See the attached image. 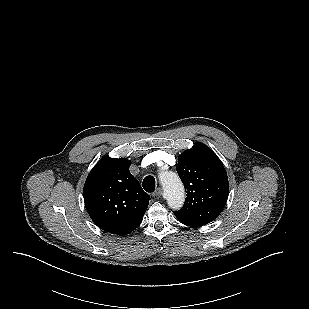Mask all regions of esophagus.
I'll use <instances>...</instances> for the list:
<instances>
[{"label": "esophagus", "mask_w": 309, "mask_h": 309, "mask_svg": "<svg viewBox=\"0 0 309 309\" xmlns=\"http://www.w3.org/2000/svg\"><path fill=\"white\" fill-rule=\"evenodd\" d=\"M163 191L161 188H157L156 191L154 192L153 196L156 198H160L162 195Z\"/></svg>", "instance_id": "esophagus-1"}]
</instances>
